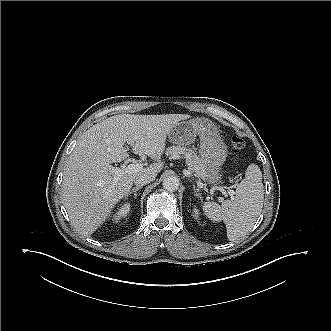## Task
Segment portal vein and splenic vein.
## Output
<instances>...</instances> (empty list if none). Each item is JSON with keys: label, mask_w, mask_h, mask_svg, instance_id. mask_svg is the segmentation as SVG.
Listing matches in <instances>:
<instances>
[{"label": "portal vein and splenic vein", "mask_w": 331, "mask_h": 331, "mask_svg": "<svg viewBox=\"0 0 331 331\" xmlns=\"http://www.w3.org/2000/svg\"><path fill=\"white\" fill-rule=\"evenodd\" d=\"M142 170V165L139 163H130L128 165H124L121 168L119 167H112L110 169V172L115 174L116 176H124V175H131L138 173ZM187 174H190V172L187 171ZM197 183L202 186V183L200 180L197 181ZM230 195H233V190L229 191Z\"/></svg>", "instance_id": "1"}]
</instances>
